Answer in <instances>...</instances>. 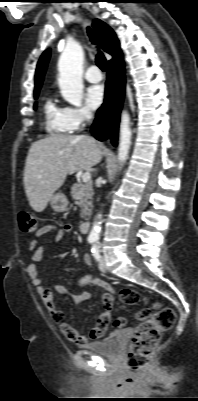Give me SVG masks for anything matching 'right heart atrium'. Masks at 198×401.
Returning <instances> with one entry per match:
<instances>
[{"label":"right heart atrium","mask_w":198,"mask_h":401,"mask_svg":"<svg viewBox=\"0 0 198 401\" xmlns=\"http://www.w3.org/2000/svg\"><path fill=\"white\" fill-rule=\"evenodd\" d=\"M67 119L73 130H78L94 117V112L87 106L65 107Z\"/></svg>","instance_id":"1"}]
</instances>
